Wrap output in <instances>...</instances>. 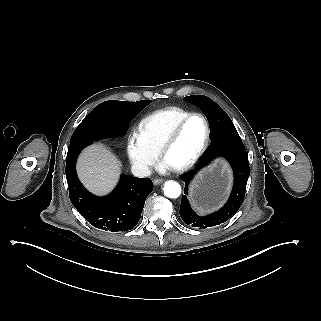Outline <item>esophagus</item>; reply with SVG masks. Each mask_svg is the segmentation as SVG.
Wrapping results in <instances>:
<instances>
[{
  "label": "esophagus",
  "instance_id": "obj_1",
  "mask_svg": "<svg viewBox=\"0 0 321 321\" xmlns=\"http://www.w3.org/2000/svg\"><path fill=\"white\" fill-rule=\"evenodd\" d=\"M164 181V179L158 178V179H154V184L158 185L161 184Z\"/></svg>",
  "mask_w": 321,
  "mask_h": 321
}]
</instances>
